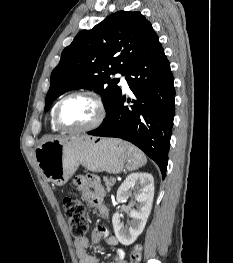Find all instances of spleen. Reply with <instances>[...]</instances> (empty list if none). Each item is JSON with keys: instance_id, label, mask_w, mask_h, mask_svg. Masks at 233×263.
<instances>
[{"instance_id": "spleen-1", "label": "spleen", "mask_w": 233, "mask_h": 263, "mask_svg": "<svg viewBox=\"0 0 233 263\" xmlns=\"http://www.w3.org/2000/svg\"><path fill=\"white\" fill-rule=\"evenodd\" d=\"M125 147L128 156L127 170L134 171L146 164L147 158L141 150L128 142H125Z\"/></svg>"}]
</instances>
